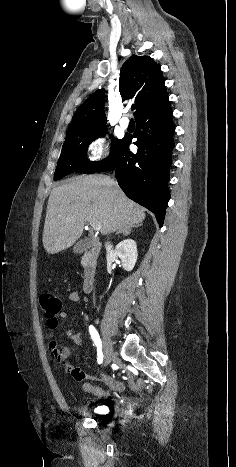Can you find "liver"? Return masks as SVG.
Wrapping results in <instances>:
<instances>
[{
  "mask_svg": "<svg viewBox=\"0 0 236 467\" xmlns=\"http://www.w3.org/2000/svg\"><path fill=\"white\" fill-rule=\"evenodd\" d=\"M144 208L127 198L117 183L104 175L76 177L50 193L43 230L49 254L70 247L86 223H101V234L140 224Z\"/></svg>",
  "mask_w": 236,
  "mask_h": 467,
  "instance_id": "1",
  "label": "liver"
}]
</instances>
